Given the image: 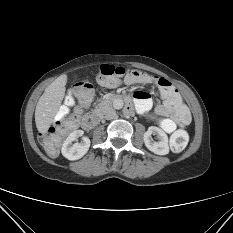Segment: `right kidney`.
Wrapping results in <instances>:
<instances>
[{
  "label": "right kidney",
  "instance_id": "right-kidney-1",
  "mask_svg": "<svg viewBox=\"0 0 233 233\" xmlns=\"http://www.w3.org/2000/svg\"><path fill=\"white\" fill-rule=\"evenodd\" d=\"M83 134L84 131L75 130L65 139L61 148V152L62 155L68 160H78L82 158L89 150L90 139L88 137H83L80 143L72 144L73 141L83 136Z\"/></svg>",
  "mask_w": 233,
  "mask_h": 233
}]
</instances>
